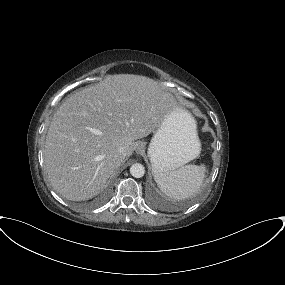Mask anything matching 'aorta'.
Returning a JSON list of instances; mask_svg holds the SVG:
<instances>
[{
    "mask_svg": "<svg viewBox=\"0 0 285 285\" xmlns=\"http://www.w3.org/2000/svg\"><path fill=\"white\" fill-rule=\"evenodd\" d=\"M130 173L135 178H141L145 174V167L140 163H135L130 167Z\"/></svg>",
    "mask_w": 285,
    "mask_h": 285,
    "instance_id": "obj_1",
    "label": "aorta"
}]
</instances>
